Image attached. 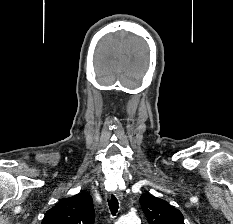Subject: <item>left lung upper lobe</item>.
I'll return each instance as SVG.
<instances>
[{
    "mask_svg": "<svg viewBox=\"0 0 233 224\" xmlns=\"http://www.w3.org/2000/svg\"><path fill=\"white\" fill-rule=\"evenodd\" d=\"M140 204L150 224H184L182 213L165 200L144 194Z\"/></svg>",
    "mask_w": 233,
    "mask_h": 224,
    "instance_id": "obj_1",
    "label": "left lung upper lobe"
}]
</instances>
